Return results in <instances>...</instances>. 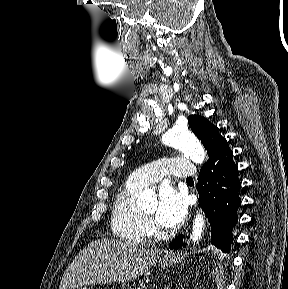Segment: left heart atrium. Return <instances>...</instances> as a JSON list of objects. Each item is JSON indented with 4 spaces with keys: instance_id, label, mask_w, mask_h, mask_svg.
Returning a JSON list of instances; mask_svg holds the SVG:
<instances>
[{
    "instance_id": "left-heart-atrium-1",
    "label": "left heart atrium",
    "mask_w": 288,
    "mask_h": 289,
    "mask_svg": "<svg viewBox=\"0 0 288 289\" xmlns=\"http://www.w3.org/2000/svg\"><path fill=\"white\" fill-rule=\"evenodd\" d=\"M187 211L185 196L171 186H163L159 191L158 207L155 219L166 228H175L181 224Z\"/></svg>"
}]
</instances>
